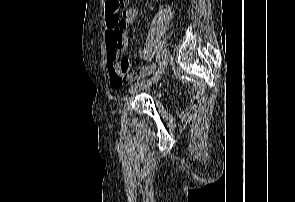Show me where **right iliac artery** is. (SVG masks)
<instances>
[{
	"label": "right iliac artery",
	"mask_w": 295,
	"mask_h": 202,
	"mask_svg": "<svg viewBox=\"0 0 295 202\" xmlns=\"http://www.w3.org/2000/svg\"><path fill=\"white\" fill-rule=\"evenodd\" d=\"M157 60H158V63L161 64L162 59H161V53L160 52H158V54H157Z\"/></svg>",
	"instance_id": "82829eb1"
}]
</instances>
